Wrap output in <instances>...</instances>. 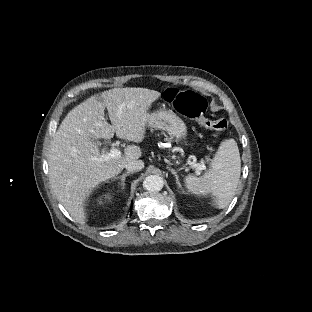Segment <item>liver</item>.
Returning a JSON list of instances; mask_svg holds the SVG:
<instances>
[{"instance_id":"liver-1","label":"liver","mask_w":312,"mask_h":312,"mask_svg":"<svg viewBox=\"0 0 312 312\" xmlns=\"http://www.w3.org/2000/svg\"><path fill=\"white\" fill-rule=\"evenodd\" d=\"M160 96L146 88H113L88 98L63 119L48 153L49 179L57 200L81 225L86 224L85 203L92 193L119 176L127 162L142 157L139 146L128 145L123 155L95 166L93 157L101 154L95 140L114 136L105 109L118 137L141 144L146 138L148 111Z\"/></svg>"}]
</instances>
